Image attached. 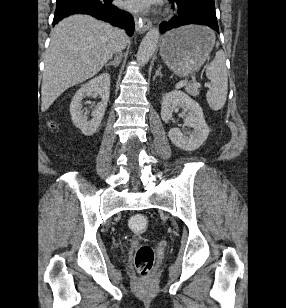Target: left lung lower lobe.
Returning <instances> with one entry per match:
<instances>
[{
	"label": "left lung lower lobe",
	"instance_id": "left-lung-lower-lobe-1",
	"mask_svg": "<svg viewBox=\"0 0 286 308\" xmlns=\"http://www.w3.org/2000/svg\"><path fill=\"white\" fill-rule=\"evenodd\" d=\"M178 15L160 25L162 33L188 24L206 25L219 33L214 0H169Z\"/></svg>",
	"mask_w": 286,
	"mask_h": 308
}]
</instances>
